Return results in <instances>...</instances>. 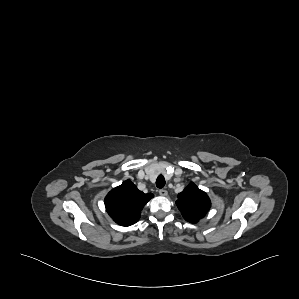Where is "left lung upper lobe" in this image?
I'll return each mask as SVG.
<instances>
[{
	"label": "left lung upper lobe",
	"mask_w": 299,
	"mask_h": 299,
	"mask_svg": "<svg viewBox=\"0 0 299 299\" xmlns=\"http://www.w3.org/2000/svg\"><path fill=\"white\" fill-rule=\"evenodd\" d=\"M184 219L196 223L205 216L211 207L207 194L200 190L194 183H190L180 194L176 201Z\"/></svg>",
	"instance_id": "obj_1"
}]
</instances>
